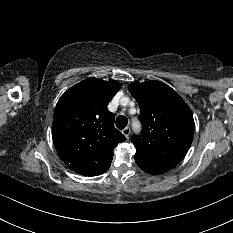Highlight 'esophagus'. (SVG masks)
Masks as SVG:
<instances>
[{
    "instance_id": "34e87169",
    "label": "esophagus",
    "mask_w": 233,
    "mask_h": 233,
    "mask_svg": "<svg viewBox=\"0 0 233 233\" xmlns=\"http://www.w3.org/2000/svg\"><path fill=\"white\" fill-rule=\"evenodd\" d=\"M122 133L125 135V137L128 139L130 135V128L126 127L122 130Z\"/></svg>"
}]
</instances>
